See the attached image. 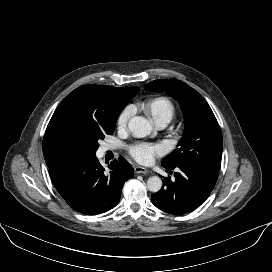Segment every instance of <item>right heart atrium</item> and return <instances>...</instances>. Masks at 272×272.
<instances>
[{"label": "right heart atrium", "mask_w": 272, "mask_h": 272, "mask_svg": "<svg viewBox=\"0 0 272 272\" xmlns=\"http://www.w3.org/2000/svg\"><path fill=\"white\" fill-rule=\"evenodd\" d=\"M131 114H132V110L130 108H126L124 109L118 116L117 118V127L119 129H124L127 124H128V121L131 117Z\"/></svg>", "instance_id": "right-heart-atrium-1"}]
</instances>
